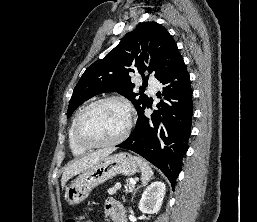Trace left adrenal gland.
<instances>
[{"label": "left adrenal gland", "instance_id": "obj_1", "mask_svg": "<svg viewBox=\"0 0 257 222\" xmlns=\"http://www.w3.org/2000/svg\"><path fill=\"white\" fill-rule=\"evenodd\" d=\"M140 187H141V186H138V187L134 190V193H133V197H132V199L134 198L135 193L137 192V190H138Z\"/></svg>", "mask_w": 257, "mask_h": 222}]
</instances>
